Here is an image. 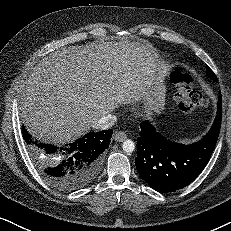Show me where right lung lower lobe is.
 Segmentation results:
<instances>
[{
	"mask_svg": "<svg viewBox=\"0 0 231 231\" xmlns=\"http://www.w3.org/2000/svg\"><path fill=\"white\" fill-rule=\"evenodd\" d=\"M112 133L111 129L90 132L65 147H57L34 140L25 127L22 128L37 169L51 185L62 191H75L95 179Z\"/></svg>",
	"mask_w": 231,
	"mask_h": 231,
	"instance_id": "obj_1",
	"label": "right lung lower lobe"
}]
</instances>
